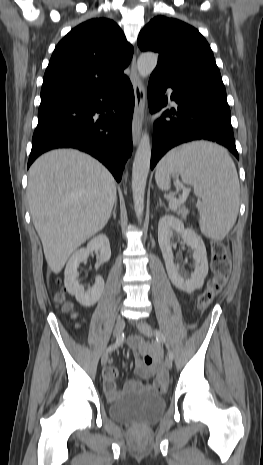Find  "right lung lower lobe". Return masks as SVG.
<instances>
[{"label": "right lung lower lobe", "mask_w": 263, "mask_h": 465, "mask_svg": "<svg viewBox=\"0 0 263 465\" xmlns=\"http://www.w3.org/2000/svg\"><path fill=\"white\" fill-rule=\"evenodd\" d=\"M133 109L134 92L127 76L105 88L41 101L28 168L46 151L71 147L97 158L119 182L132 153Z\"/></svg>", "instance_id": "98d812e1"}]
</instances>
